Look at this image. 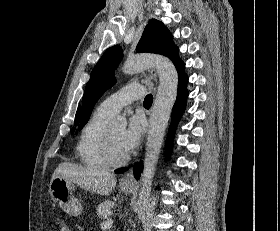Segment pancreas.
Wrapping results in <instances>:
<instances>
[{"label": "pancreas", "mask_w": 280, "mask_h": 231, "mask_svg": "<svg viewBox=\"0 0 280 231\" xmlns=\"http://www.w3.org/2000/svg\"><path fill=\"white\" fill-rule=\"evenodd\" d=\"M115 205V201H102V203H98L96 207L98 217H102V219H107V217H109V215H111L112 213V207H115Z\"/></svg>", "instance_id": "obj_1"}]
</instances>
